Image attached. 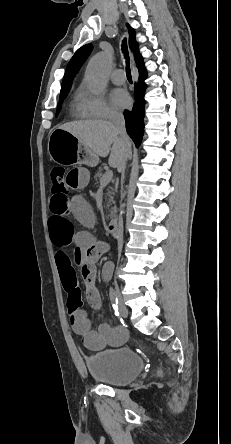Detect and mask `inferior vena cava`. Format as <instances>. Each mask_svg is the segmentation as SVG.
Listing matches in <instances>:
<instances>
[{"instance_id": "602c4592", "label": "inferior vena cava", "mask_w": 231, "mask_h": 444, "mask_svg": "<svg viewBox=\"0 0 231 444\" xmlns=\"http://www.w3.org/2000/svg\"><path fill=\"white\" fill-rule=\"evenodd\" d=\"M111 121L112 124L115 128V130L119 133L121 139H123L127 144L125 145L127 148L130 146L129 145V138L127 136L126 133V129H125V120L124 117L121 113L118 112H114L111 115ZM125 168H126V160H124L122 166L118 169L119 172L122 173V176H124L125 173ZM126 208L123 206L121 208V210L117 213V229L119 230L117 232L118 237V245H119V249L121 248V241H122V236H123V232L126 230L123 225L125 222V219L123 218V212Z\"/></svg>"}]
</instances>
